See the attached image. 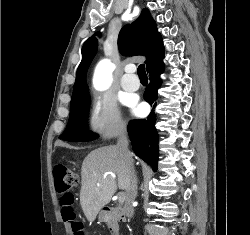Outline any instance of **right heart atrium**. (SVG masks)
Listing matches in <instances>:
<instances>
[{
	"instance_id": "d8ad5b80",
	"label": "right heart atrium",
	"mask_w": 250,
	"mask_h": 235,
	"mask_svg": "<svg viewBox=\"0 0 250 235\" xmlns=\"http://www.w3.org/2000/svg\"><path fill=\"white\" fill-rule=\"evenodd\" d=\"M88 124L93 133L109 138L122 136L127 131V125L116 104L103 96L93 100Z\"/></svg>"
}]
</instances>
